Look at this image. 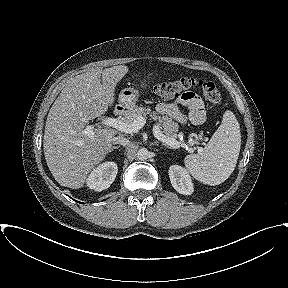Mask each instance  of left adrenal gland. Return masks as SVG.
Segmentation results:
<instances>
[{
    "label": "left adrenal gland",
    "instance_id": "left-adrenal-gland-1",
    "mask_svg": "<svg viewBox=\"0 0 288 288\" xmlns=\"http://www.w3.org/2000/svg\"><path fill=\"white\" fill-rule=\"evenodd\" d=\"M163 146H164V147H166V148H169V149H171V147H170V146H168V145H166V144H163Z\"/></svg>",
    "mask_w": 288,
    "mask_h": 288
}]
</instances>
